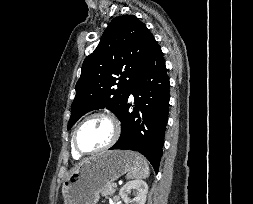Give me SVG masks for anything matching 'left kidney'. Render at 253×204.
I'll return each mask as SVG.
<instances>
[{"mask_svg":"<svg viewBox=\"0 0 253 204\" xmlns=\"http://www.w3.org/2000/svg\"><path fill=\"white\" fill-rule=\"evenodd\" d=\"M133 194V199L129 196ZM148 193V185L143 180L127 182L119 191V195L126 204H145Z\"/></svg>","mask_w":253,"mask_h":204,"instance_id":"5707ae66","label":"left kidney"}]
</instances>
